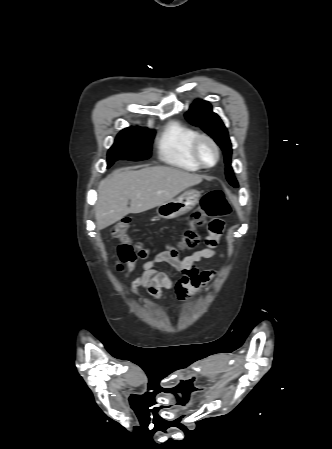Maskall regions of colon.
I'll return each mask as SVG.
<instances>
[{
	"instance_id": "5ec220e1",
	"label": "colon",
	"mask_w": 332,
	"mask_h": 449,
	"mask_svg": "<svg viewBox=\"0 0 332 449\" xmlns=\"http://www.w3.org/2000/svg\"><path fill=\"white\" fill-rule=\"evenodd\" d=\"M230 212L231 205L222 191L215 190L205 194L201 199L200 207L190 217V226L183 233L181 245L187 249H194L200 242L197 229L202 227L207 220H210V222L221 220V218L228 216ZM130 226V220L121 219L112 229L113 235L120 240L118 265L132 263L137 258L139 249L126 235Z\"/></svg>"
}]
</instances>
